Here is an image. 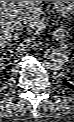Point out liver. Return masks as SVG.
Instances as JSON below:
<instances>
[{"instance_id": "6515ba94", "label": "liver", "mask_w": 74, "mask_h": 122, "mask_svg": "<svg viewBox=\"0 0 74 122\" xmlns=\"http://www.w3.org/2000/svg\"><path fill=\"white\" fill-rule=\"evenodd\" d=\"M42 1H0V46L4 47L13 38L12 21L27 23V31H33L41 24Z\"/></svg>"}]
</instances>
